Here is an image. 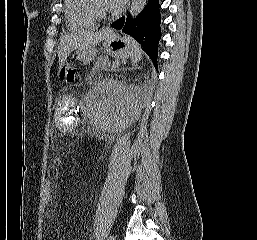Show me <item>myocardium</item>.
Masks as SVG:
<instances>
[{
  "mask_svg": "<svg viewBox=\"0 0 257 240\" xmlns=\"http://www.w3.org/2000/svg\"><path fill=\"white\" fill-rule=\"evenodd\" d=\"M85 6L88 12L98 21L106 19L110 15L108 10H103L98 6L97 0H85Z\"/></svg>",
  "mask_w": 257,
  "mask_h": 240,
  "instance_id": "1",
  "label": "myocardium"
}]
</instances>
